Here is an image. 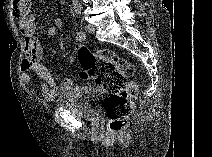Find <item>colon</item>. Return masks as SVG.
I'll return each mask as SVG.
<instances>
[{"label":"colon","mask_w":212,"mask_h":157,"mask_svg":"<svg viewBox=\"0 0 212 157\" xmlns=\"http://www.w3.org/2000/svg\"><path fill=\"white\" fill-rule=\"evenodd\" d=\"M75 50L80 76L93 79L109 94L106 104L108 129L112 135H117L132 115V100L138 94L134 68L128 60L108 49L92 50L80 45Z\"/></svg>","instance_id":"1"}]
</instances>
